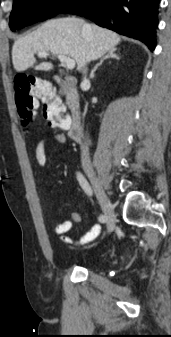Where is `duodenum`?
<instances>
[{
  "mask_svg": "<svg viewBox=\"0 0 171 337\" xmlns=\"http://www.w3.org/2000/svg\"><path fill=\"white\" fill-rule=\"evenodd\" d=\"M58 83L66 84V98L67 104L71 111L69 117V124L67 126L69 136L74 141H80L82 137L80 117H79V95L76 89L71 85L69 81H64L62 78L57 77Z\"/></svg>",
  "mask_w": 171,
  "mask_h": 337,
  "instance_id": "obj_1",
  "label": "duodenum"
}]
</instances>
